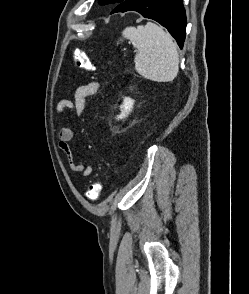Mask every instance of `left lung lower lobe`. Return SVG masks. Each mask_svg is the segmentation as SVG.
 Listing matches in <instances>:
<instances>
[{"mask_svg":"<svg viewBox=\"0 0 249 294\" xmlns=\"http://www.w3.org/2000/svg\"><path fill=\"white\" fill-rule=\"evenodd\" d=\"M134 10L166 27L182 49L186 35V15L182 0H124L111 14Z\"/></svg>","mask_w":249,"mask_h":294,"instance_id":"1","label":"left lung lower lobe"}]
</instances>
